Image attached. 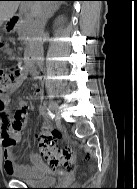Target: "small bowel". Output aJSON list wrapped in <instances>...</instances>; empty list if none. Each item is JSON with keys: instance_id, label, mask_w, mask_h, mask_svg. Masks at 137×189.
Instances as JSON below:
<instances>
[{"instance_id": "obj_1", "label": "small bowel", "mask_w": 137, "mask_h": 189, "mask_svg": "<svg viewBox=\"0 0 137 189\" xmlns=\"http://www.w3.org/2000/svg\"><path fill=\"white\" fill-rule=\"evenodd\" d=\"M30 72L26 68L20 70L19 79L24 80ZM26 104L23 100L18 101V110L15 115L10 116L8 113V101L0 98V139L4 147V169L8 175H27L32 171V167L28 165L18 164L16 162V155L13 146L21 139V130L14 131L11 124L21 119L23 126L26 123L25 119ZM34 163H38L40 158L38 154L32 153L30 155Z\"/></svg>"}]
</instances>
